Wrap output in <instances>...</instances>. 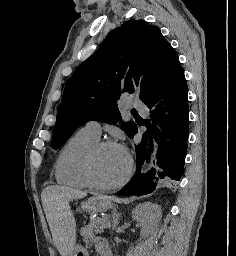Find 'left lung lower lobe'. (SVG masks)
Masks as SVG:
<instances>
[{
	"instance_id": "obj_1",
	"label": "left lung lower lobe",
	"mask_w": 236,
	"mask_h": 256,
	"mask_svg": "<svg viewBox=\"0 0 236 256\" xmlns=\"http://www.w3.org/2000/svg\"><path fill=\"white\" fill-rule=\"evenodd\" d=\"M187 94L184 71L180 68L143 102L150 109L149 119L143 120L139 125H147L149 128L143 133L141 142L135 146L137 171L131 181L116 195H146L164 185H174L176 181H180L188 140ZM137 131L136 125L131 138ZM153 138L159 144L157 165L146 174H141L140 167L150 156Z\"/></svg>"
}]
</instances>
